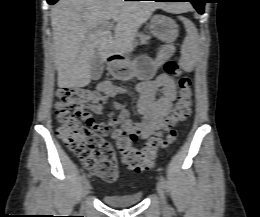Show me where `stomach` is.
<instances>
[{"label": "stomach", "mask_w": 260, "mask_h": 217, "mask_svg": "<svg viewBox=\"0 0 260 217\" xmlns=\"http://www.w3.org/2000/svg\"><path fill=\"white\" fill-rule=\"evenodd\" d=\"M150 30L155 37L165 42V45L158 50L156 59L142 57L135 61L124 59L111 63L115 77L124 80L132 77L142 81L150 80L155 76L158 66L173 55L175 51L173 42L178 36L176 23L167 16L154 15L150 19Z\"/></svg>", "instance_id": "0dacf381"}]
</instances>
